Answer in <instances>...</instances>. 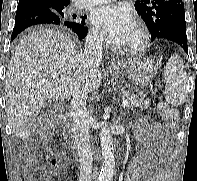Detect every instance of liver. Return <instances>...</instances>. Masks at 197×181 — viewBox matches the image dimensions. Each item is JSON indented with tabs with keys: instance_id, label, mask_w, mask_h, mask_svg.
<instances>
[{
	"instance_id": "liver-1",
	"label": "liver",
	"mask_w": 197,
	"mask_h": 181,
	"mask_svg": "<svg viewBox=\"0 0 197 181\" xmlns=\"http://www.w3.org/2000/svg\"><path fill=\"white\" fill-rule=\"evenodd\" d=\"M99 65V64H98ZM84 67V54L67 34L40 28L23 37L8 65L5 79L6 113L13 134L29 138L32 124L48 99L73 97L84 87L99 88V66ZM126 64H122L121 69ZM53 73H59L53 77Z\"/></svg>"
}]
</instances>
